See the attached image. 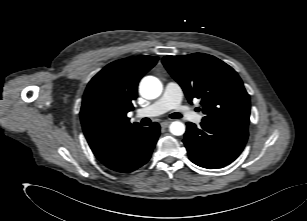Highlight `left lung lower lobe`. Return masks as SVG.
<instances>
[{
  "label": "left lung lower lobe",
  "mask_w": 307,
  "mask_h": 221,
  "mask_svg": "<svg viewBox=\"0 0 307 221\" xmlns=\"http://www.w3.org/2000/svg\"><path fill=\"white\" fill-rule=\"evenodd\" d=\"M183 140L190 160L198 166L216 169L233 162L242 152L248 130L236 126L188 122Z\"/></svg>",
  "instance_id": "1"
}]
</instances>
